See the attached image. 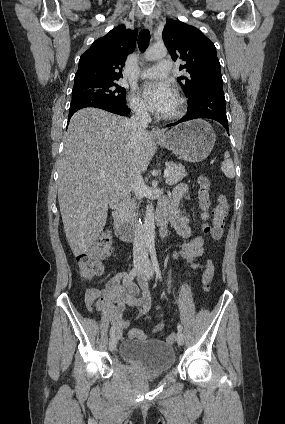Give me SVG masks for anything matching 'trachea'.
<instances>
[{
  "instance_id": "obj_1",
  "label": "trachea",
  "mask_w": 285,
  "mask_h": 424,
  "mask_svg": "<svg viewBox=\"0 0 285 424\" xmlns=\"http://www.w3.org/2000/svg\"><path fill=\"white\" fill-rule=\"evenodd\" d=\"M150 41V32L148 29H144L139 33L138 37V46L140 51H144L146 47L148 46Z\"/></svg>"
}]
</instances>
